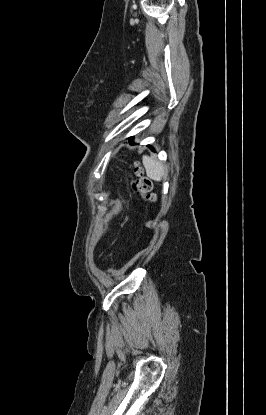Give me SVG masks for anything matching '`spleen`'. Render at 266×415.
Listing matches in <instances>:
<instances>
[{
  "instance_id": "spleen-1",
  "label": "spleen",
  "mask_w": 266,
  "mask_h": 415,
  "mask_svg": "<svg viewBox=\"0 0 266 415\" xmlns=\"http://www.w3.org/2000/svg\"><path fill=\"white\" fill-rule=\"evenodd\" d=\"M143 164L146 169L147 176L157 182L162 180L166 173L165 166L159 163L155 157L143 156Z\"/></svg>"
}]
</instances>
